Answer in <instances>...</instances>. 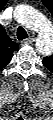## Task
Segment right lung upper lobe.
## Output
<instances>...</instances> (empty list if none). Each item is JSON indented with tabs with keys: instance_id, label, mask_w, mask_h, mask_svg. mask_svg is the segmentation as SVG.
Here are the masks:
<instances>
[{
	"instance_id": "obj_1",
	"label": "right lung upper lobe",
	"mask_w": 53,
	"mask_h": 120,
	"mask_svg": "<svg viewBox=\"0 0 53 120\" xmlns=\"http://www.w3.org/2000/svg\"><path fill=\"white\" fill-rule=\"evenodd\" d=\"M18 44L13 42L2 28L0 35V66L5 67L11 60L14 51H18Z\"/></svg>"
}]
</instances>
